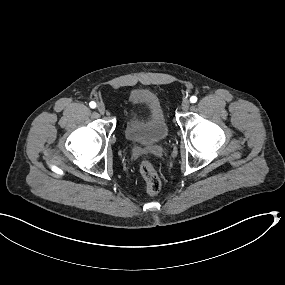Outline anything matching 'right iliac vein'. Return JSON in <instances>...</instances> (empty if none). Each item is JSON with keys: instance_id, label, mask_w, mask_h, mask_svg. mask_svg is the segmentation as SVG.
Wrapping results in <instances>:
<instances>
[{"instance_id": "1", "label": "right iliac vein", "mask_w": 285, "mask_h": 285, "mask_svg": "<svg viewBox=\"0 0 285 285\" xmlns=\"http://www.w3.org/2000/svg\"><path fill=\"white\" fill-rule=\"evenodd\" d=\"M97 110L100 114H104L105 112V106L102 105V104H99L98 107H97Z\"/></svg>"}]
</instances>
